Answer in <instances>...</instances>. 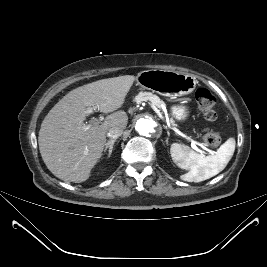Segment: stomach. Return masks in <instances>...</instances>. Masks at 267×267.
<instances>
[{
  "label": "stomach",
  "instance_id": "1",
  "mask_svg": "<svg viewBox=\"0 0 267 267\" xmlns=\"http://www.w3.org/2000/svg\"><path fill=\"white\" fill-rule=\"evenodd\" d=\"M137 84L143 89L151 90L167 97H179L190 94L197 85V80L190 74L170 70H146L138 74ZM172 116L177 121H185L189 108L185 105L171 107Z\"/></svg>",
  "mask_w": 267,
  "mask_h": 267
}]
</instances>
